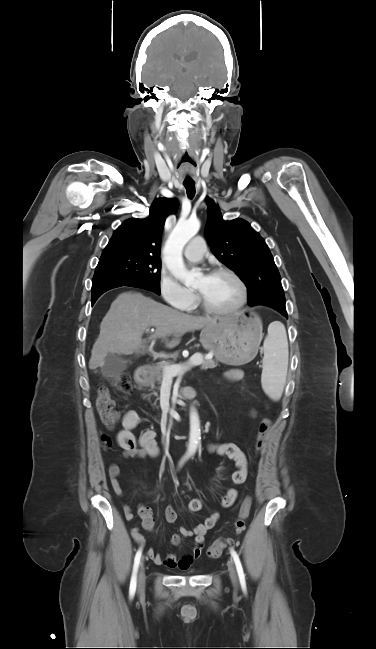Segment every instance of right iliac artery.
I'll use <instances>...</instances> for the list:
<instances>
[{
	"label": "right iliac artery",
	"mask_w": 376,
	"mask_h": 649,
	"mask_svg": "<svg viewBox=\"0 0 376 649\" xmlns=\"http://www.w3.org/2000/svg\"><path fill=\"white\" fill-rule=\"evenodd\" d=\"M185 459L186 458H183L181 460L180 464H182L185 461ZM141 554H142V549L140 548L137 551V553L135 555V559H134L133 572H132V577H131V582H130V589H129V592H130L131 596H133L135 591H136L137 572H138V567H139V563H140V559H141Z\"/></svg>",
	"instance_id": "right-iliac-artery-1"
}]
</instances>
